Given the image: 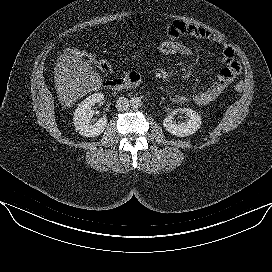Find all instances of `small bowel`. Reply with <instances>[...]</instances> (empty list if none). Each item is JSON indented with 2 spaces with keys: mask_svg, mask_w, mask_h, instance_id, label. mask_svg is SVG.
Here are the masks:
<instances>
[{
  "mask_svg": "<svg viewBox=\"0 0 272 272\" xmlns=\"http://www.w3.org/2000/svg\"><path fill=\"white\" fill-rule=\"evenodd\" d=\"M168 37L181 39L183 36H191L198 39H204L215 43L221 47L223 68L219 71L217 79L205 90L200 91L193 96L173 94L172 100L177 103L194 102L197 105L204 106L215 101L227 86L233 82L234 78L241 72V64L237 60L233 48L217 34L182 21H174L168 27Z\"/></svg>",
  "mask_w": 272,
  "mask_h": 272,
  "instance_id": "c3829d8e",
  "label": "small bowel"
}]
</instances>
